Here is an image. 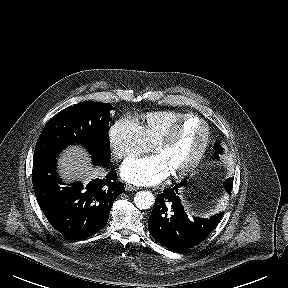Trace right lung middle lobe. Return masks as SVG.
I'll return each instance as SVG.
<instances>
[{
	"label": "right lung middle lobe",
	"mask_w": 288,
	"mask_h": 288,
	"mask_svg": "<svg viewBox=\"0 0 288 288\" xmlns=\"http://www.w3.org/2000/svg\"><path fill=\"white\" fill-rule=\"evenodd\" d=\"M109 103L84 101L56 114L45 126L36 143L34 160L56 158L71 144H80L94 164L110 161Z\"/></svg>",
	"instance_id": "1"
}]
</instances>
